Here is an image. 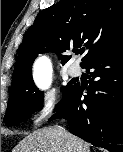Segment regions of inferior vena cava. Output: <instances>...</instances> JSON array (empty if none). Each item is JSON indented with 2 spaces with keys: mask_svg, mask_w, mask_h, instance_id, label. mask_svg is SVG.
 Returning <instances> with one entry per match:
<instances>
[{
  "mask_svg": "<svg viewBox=\"0 0 123 152\" xmlns=\"http://www.w3.org/2000/svg\"><path fill=\"white\" fill-rule=\"evenodd\" d=\"M61 130L65 132V129L63 127H61Z\"/></svg>",
  "mask_w": 123,
  "mask_h": 152,
  "instance_id": "inferior-vena-cava-1",
  "label": "inferior vena cava"
}]
</instances>
